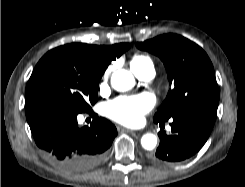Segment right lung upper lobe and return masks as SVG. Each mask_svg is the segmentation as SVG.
<instances>
[{
	"instance_id": "1",
	"label": "right lung upper lobe",
	"mask_w": 245,
	"mask_h": 187,
	"mask_svg": "<svg viewBox=\"0 0 245 187\" xmlns=\"http://www.w3.org/2000/svg\"><path fill=\"white\" fill-rule=\"evenodd\" d=\"M84 46L92 55L99 58L103 62L104 66L108 67L112 60H116V57L118 58L129 49L130 44L120 43L112 46H93L84 44Z\"/></svg>"
}]
</instances>
